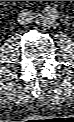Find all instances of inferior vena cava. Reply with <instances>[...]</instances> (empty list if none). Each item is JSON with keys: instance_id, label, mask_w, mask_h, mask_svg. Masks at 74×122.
<instances>
[{"instance_id": "inferior-vena-cava-1", "label": "inferior vena cava", "mask_w": 74, "mask_h": 122, "mask_svg": "<svg viewBox=\"0 0 74 122\" xmlns=\"http://www.w3.org/2000/svg\"><path fill=\"white\" fill-rule=\"evenodd\" d=\"M32 12L31 11H27V10H23L21 11V13H19V19L21 21V23H26V22H30V18L28 16L31 17Z\"/></svg>"}]
</instances>
